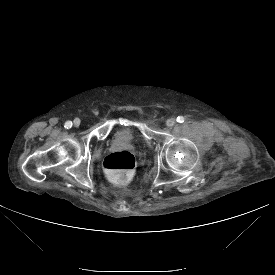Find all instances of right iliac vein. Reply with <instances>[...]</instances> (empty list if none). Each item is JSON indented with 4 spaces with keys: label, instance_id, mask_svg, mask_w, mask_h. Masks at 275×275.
<instances>
[{
    "label": "right iliac vein",
    "instance_id": "obj_1",
    "mask_svg": "<svg viewBox=\"0 0 275 275\" xmlns=\"http://www.w3.org/2000/svg\"><path fill=\"white\" fill-rule=\"evenodd\" d=\"M73 124H74L75 127H79V125H80V120H79L78 118H76V119L74 120Z\"/></svg>",
    "mask_w": 275,
    "mask_h": 275
}]
</instances>
